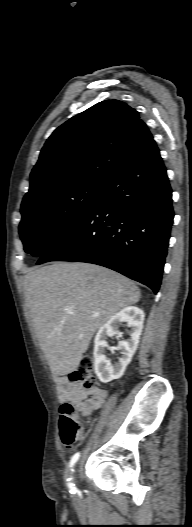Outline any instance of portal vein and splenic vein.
Segmentation results:
<instances>
[{"mask_svg":"<svg viewBox=\"0 0 192 527\" xmlns=\"http://www.w3.org/2000/svg\"><path fill=\"white\" fill-rule=\"evenodd\" d=\"M67 312H68V313H72V310H71V309H68ZM94 316H97V314H94Z\"/></svg>","mask_w":192,"mask_h":527,"instance_id":"portal-vein-and-splenic-vein-1","label":"portal vein and splenic vein"}]
</instances>
